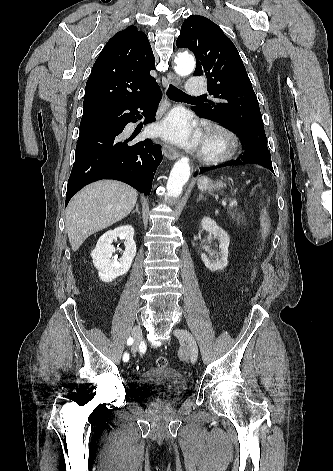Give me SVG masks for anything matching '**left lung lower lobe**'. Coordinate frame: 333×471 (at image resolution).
<instances>
[{
  "instance_id": "1",
  "label": "left lung lower lobe",
  "mask_w": 333,
  "mask_h": 471,
  "mask_svg": "<svg viewBox=\"0 0 333 471\" xmlns=\"http://www.w3.org/2000/svg\"><path fill=\"white\" fill-rule=\"evenodd\" d=\"M244 164H259L268 168L274 173L269 150L264 149V148H258V149H252V150H245L244 154L239 159H236L232 162L213 166V167H206V168L199 169L198 171L194 173V176H197L198 174H202L208 170H213V169L224 167V166L244 165Z\"/></svg>"
}]
</instances>
